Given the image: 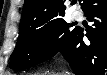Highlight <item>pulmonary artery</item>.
<instances>
[{
    "label": "pulmonary artery",
    "mask_w": 107,
    "mask_h": 75,
    "mask_svg": "<svg viewBox=\"0 0 107 75\" xmlns=\"http://www.w3.org/2000/svg\"><path fill=\"white\" fill-rule=\"evenodd\" d=\"M73 18L79 19L81 17V13L78 10H75L72 14Z\"/></svg>",
    "instance_id": "obj_1"
}]
</instances>
